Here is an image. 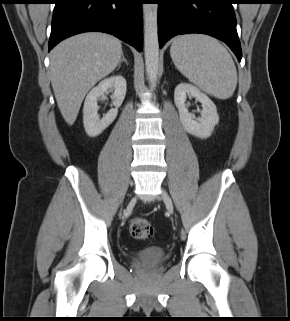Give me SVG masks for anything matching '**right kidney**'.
Segmentation results:
<instances>
[{
    "label": "right kidney",
    "mask_w": 290,
    "mask_h": 321,
    "mask_svg": "<svg viewBox=\"0 0 290 321\" xmlns=\"http://www.w3.org/2000/svg\"><path fill=\"white\" fill-rule=\"evenodd\" d=\"M126 80L121 75H115L102 80L96 87L92 88L86 96L83 107V124L86 133L95 137L101 134L116 118L118 108L121 106L126 95ZM114 91L112 94V103L115 108L100 118L98 115L97 100L99 97Z\"/></svg>",
    "instance_id": "ca27d5eb"
}]
</instances>
